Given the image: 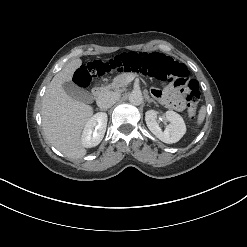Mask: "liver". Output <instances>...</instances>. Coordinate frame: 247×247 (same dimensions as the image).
Wrapping results in <instances>:
<instances>
[{
    "mask_svg": "<svg viewBox=\"0 0 247 247\" xmlns=\"http://www.w3.org/2000/svg\"><path fill=\"white\" fill-rule=\"evenodd\" d=\"M82 65L81 59L68 63L48 85L42 102V125L48 141L65 156L80 159L87 153L81 133L93 115V108L72 99L63 89L73 73Z\"/></svg>",
    "mask_w": 247,
    "mask_h": 247,
    "instance_id": "liver-1",
    "label": "liver"
}]
</instances>
